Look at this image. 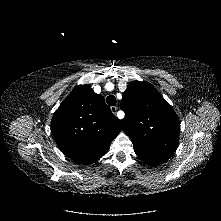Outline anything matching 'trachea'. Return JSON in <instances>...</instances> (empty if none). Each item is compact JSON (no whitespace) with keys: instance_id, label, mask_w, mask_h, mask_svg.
I'll use <instances>...</instances> for the list:
<instances>
[{"instance_id":"1","label":"trachea","mask_w":221,"mask_h":221,"mask_svg":"<svg viewBox=\"0 0 221 221\" xmlns=\"http://www.w3.org/2000/svg\"><path fill=\"white\" fill-rule=\"evenodd\" d=\"M106 102L109 106H114L116 104V98L114 95H109L107 98H106Z\"/></svg>"}]
</instances>
